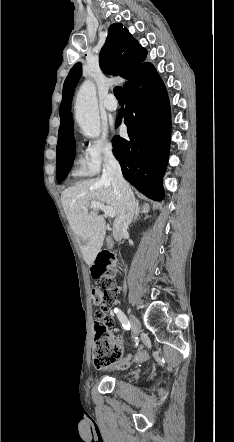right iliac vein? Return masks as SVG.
<instances>
[{"mask_svg":"<svg viewBox=\"0 0 234 442\" xmlns=\"http://www.w3.org/2000/svg\"><path fill=\"white\" fill-rule=\"evenodd\" d=\"M130 321H131V326H132L133 337H135L139 334L140 329H141V325H140V322L138 321V319L133 315H130Z\"/></svg>","mask_w":234,"mask_h":442,"instance_id":"right-iliac-vein-1","label":"right iliac vein"}]
</instances>
